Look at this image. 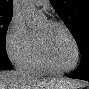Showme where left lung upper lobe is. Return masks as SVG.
Returning a JSON list of instances; mask_svg holds the SVG:
<instances>
[{"label": "left lung upper lobe", "mask_w": 89, "mask_h": 89, "mask_svg": "<svg viewBox=\"0 0 89 89\" xmlns=\"http://www.w3.org/2000/svg\"><path fill=\"white\" fill-rule=\"evenodd\" d=\"M74 36L81 56L89 54V0H50Z\"/></svg>", "instance_id": "5c2ea615"}]
</instances>
